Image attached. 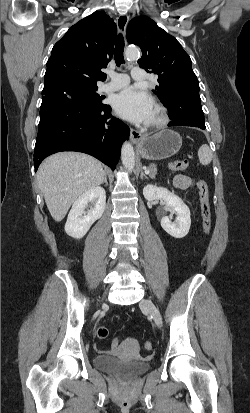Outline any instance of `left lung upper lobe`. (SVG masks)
<instances>
[{
    "label": "left lung upper lobe",
    "instance_id": "obj_1",
    "mask_svg": "<svg viewBox=\"0 0 250 413\" xmlns=\"http://www.w3.org/2000/svg\"><path fill=\"white\" fill-rule=\"evenodd\" d=\"M127 40L138 45L142 57L141 68L158 75L159 86L153 92L167 107L176 98L199 94L198 79L191 67V59L181 44L148 17L130 21Z\"/></svg>",
    "mask_w": 250,
    "mask_h": 413
}]
</instances>
